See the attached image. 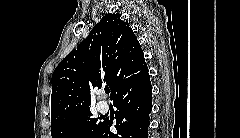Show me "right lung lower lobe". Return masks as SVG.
<instances>
[{"mask_svg":"<svg viewBox=\"0 0 240 138\" xmlns=\"http://www.w3.org/2000/svg\"><path fill=\"white\" fill-rule=\"evenodd\" d=\"M152 86L147 73L138 82L119 90L112 98L116 113V132L104 121L94 138H147L152 110Z\"/></svg>","mask_w":240,"mask_h":138,"instance_id":"98d812e1","label":"right lung lower lobe"}]
</instances>
